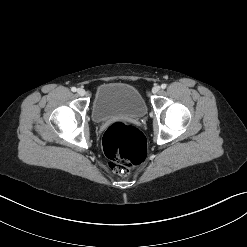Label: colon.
<instances>
[{
	"label": "colon",
	"instance_id": "colon-1",
	"mask_svg": "<svg viewBox=\"0 0 247 247\" xmlns=\"http://www.w3.org/2000/svg\"><path fill=\"white\" fill-rule=\"evenodd\" d=\"M103 147L109 167L122 176L142 163L146 155L143 134L124 122L114 123L106 129Z\"/></svg>",
	"mask_w": 247,
	"mask_h": 247
}]
</instances>
